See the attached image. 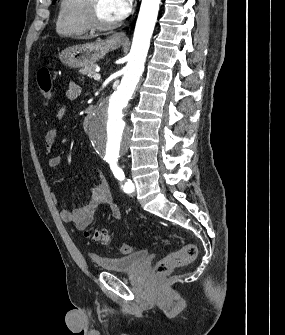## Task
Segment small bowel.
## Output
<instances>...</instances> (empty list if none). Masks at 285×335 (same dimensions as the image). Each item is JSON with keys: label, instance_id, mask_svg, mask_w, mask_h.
Instances as JSON below:
<instances>
[{"label": "small bowel", "instance_id": "small-bowel-1", "mask_svg": "<svg viewBox=\"0 0 285 335\" xmlns=\"http://www.w3.org/2000/svg\"><path fill=\"white\" fill-rule=\"evenodd\" d=\"M80 87L72 83L70 84L67 92L66 99L73 100L80 94ZM64 102L57 104L55 117L59 119L64 113ZM58 136L56 128L50 129L44 140V151L50 155L48 165L51 168H57L61 164V157L54 155V146ZM54 200L57 201L54 196ZM101 207H107L115 219L121 217L119 206L113 201L109 185L103 175L96 176V182L92 186L89 201L76 210L60 209V216L64 222L74 225L78 230H85L94 222L96 211Z\"/></svg>", "mask_w": 285, "mask_h": 335}]
</instances>
